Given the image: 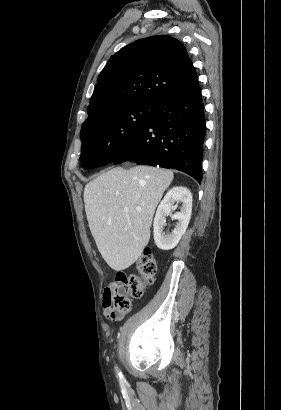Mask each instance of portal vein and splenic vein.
Segmentation results:
<instances>
[{"mask_svg": "<svg viewBox=\"0 0 281 410\" xmlns=\"http://www.w3.org/2000/svg\"><path fill=\"white\" fill-rule=\"evenodd\" d=\"M123 210H124V212H128V211H129V208H128V207H125ZM136 210H137V211H141L142 209H141L140 207H136Z\"/></svg>", "mask_w": 281, "mask_h": 410, "instance_id": "1", "label": "portal vein and splenic vein"}]
</instances>
